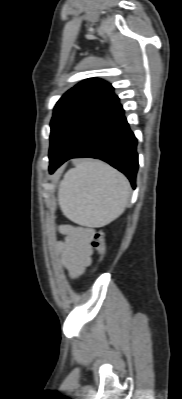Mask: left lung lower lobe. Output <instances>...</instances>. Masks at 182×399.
Returning a JSON list of instances; mask_svg holds the SVG:
<instances>
[{
  "label": "left lung lower lobe",
  "instance_id": "1",
  "mask_svg": "<svg viewBox=\"0 0 182 399\" xmlns=\"http://www.w3.org/2000/svg\"><path fill=\"white\" fill-rule=\"evenodd\" d=\"M137 140L115 96L85 118L61 154L50 162L52 174L71 158L101 159L124 173L135 188Z\"/></svg>",
  "mask_w": 182,
  "mask_h": 399
}]
</instances>
